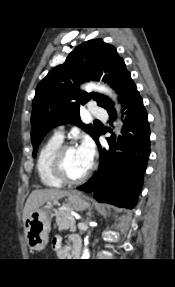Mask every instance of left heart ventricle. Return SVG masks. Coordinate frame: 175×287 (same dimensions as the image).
<instances>
[{"instance_id": "left-heart-ventricle-1", "label": "left heart ventricle", "mask_w": 175, "mask_h": 287, "mask_svg": "<svg viewBox=\"0 0 175 287\" xmlns=\"http://www.w3.org/2000/svg\"><path fill=\"white\" fill-rule=\"evenodd\" d=\"M89 167L90 165L86 162L77 147L67 150L64 156V168L69 177L77 178Z\"/></svg>"}]
</instances>
